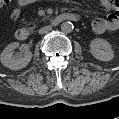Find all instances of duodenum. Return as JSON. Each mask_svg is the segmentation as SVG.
Instances as JSON below:
<instances>
[{"mask_svg":"<svg viewBox=\"0 0 119 119\" xmlns=\"http://www.w3.org/2000/svg\"><path fill=\"white\" fill-rule=\"evenodd\" d=\"M79 20V16L74 13H61L54 16L51 20L52 26H57L65 21L76 22ZM16 38L20 41H25L29 38V31L25 28H20L16 31Z\"/></svg>","mask_w":119,"mask_h":119,"instance_id":"obj_1","label":"duodenum"}]
</instances>
